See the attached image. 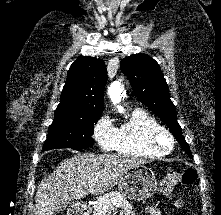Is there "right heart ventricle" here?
Returning <instances> with one entry per match:
<instances>
[{
	"label": "right heart ventricle",
	"instance_id": "1",
	"mask_svg": "<svg viewBox=\"0 0 221 215\" xmlns=\"http://www.w3.org/2000/svg\"><path fill=\"white\" fill-rule=\"evenodd\" d=\"M161 126L159 121L141 108L132 111L119 127H117L114 150L122 155L156 158L163 156L152 150L146 141L148 132Z\"/></svg>",
	"mask_w": 221,
	"mask_h": 215
}]
</instances>
